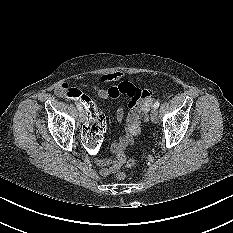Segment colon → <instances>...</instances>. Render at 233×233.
<instances>
[{"label": "colon", "instance_id": "colon-1", "mask_svg": "<svg viewBox=\"0 0 233 233\" xmlns=\"http://www.w3.org/2000/svg\"><path fill=\"white\" fill-rule=\"evenodd\" d=\"M64 98L69 101H74L78 105H84L88 113V122L84 127V142L85 148L90 155H97L102 143V139L106 130V119L102 112L90 100L89 95L84 94L82 91L75 88H69L64 91ZM144 121H148V113L142 115ZM117 162L124 167L132 168L136 165L137 160L127 159L123 153H119ZM118 179L123 180L126 178L124 172L117 175Z\"/></svg>", "mask_w": 233, "mask_h": 233}]
</instances>
